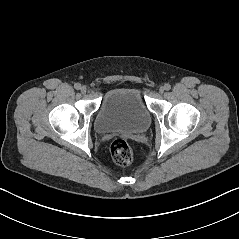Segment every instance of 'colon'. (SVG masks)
Masks as SVG:
<instances>
[{
  "mask_svg": "<svg viewBox=\"0 0 239 239\" xmlns=\"http://www.w3.org/2000/svg\"><path fill=\"white\" fill-rule=\"evenodd\" d=\"M113 161L120 166H127L133 160V151L127 141L115 139L110 146Z\"/></svg>",
  "mask_w": 239,
  "mask_h": 239,
  "instance_id": "1",
  "label": "colon"
}]
</instances>
